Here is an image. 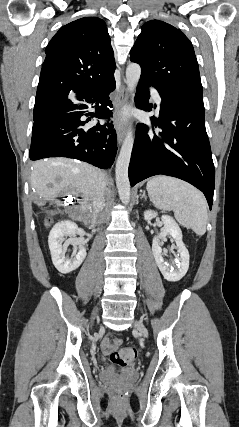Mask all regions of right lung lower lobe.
<instances>
[{"label": "right lung lower lobe", "mask_w": 239, "mask_h": 427, "mask_svg": "<svg viewBox=\"0 0 239 427\" xmlns=\"http://www.w3.org/2000/svg\"><path fill=\"white\" fill-rule=\"evenodd\" d=\"M115 89V79L93 87L67 90L44 99L46 106L34 118L31 160L47 157H68L88 162L99 168H109L117 152V135L111 124L89 127L92 117H112L109 94ZM94 108L95 113L88 112ZM83 116H90L84 119Z\"/></svg>", "instance_id": "right-lung-lower-lobe-1"}]
</instances>
